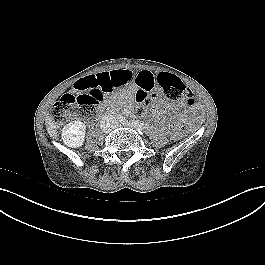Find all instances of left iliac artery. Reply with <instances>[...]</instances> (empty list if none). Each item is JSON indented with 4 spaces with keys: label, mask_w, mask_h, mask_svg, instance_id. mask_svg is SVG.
Listing matches in <instances>:
<instances>
[{
    "label": "left iliac artery",
    "mask_w": 265,
    "mask_h": 265,
    "mask_svg": "<svg viewBox=\"0 0 265 265\" xmlns=\"http://www.w3.org/2000/svg\"><path fill=\"white\" fill-rule=\"evenodd\" d=\"M132 125L138 129L140 134H142L143 126L138 121H132Z\"/></svg>",
    "instance_id": "1"
}]
</instances>
